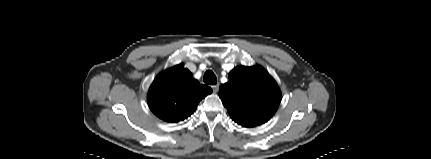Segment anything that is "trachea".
Listing matches in <instances>:
<instances>
[{
  "instance_id": "trachea-1",
  "label": "trachea",
  "mask_w": 431,
  "mask_h": 159,
  "mask_svg": "<svg viewBox=\"0 0 431 159\" xmlns=\"http://www.w3.org/2000/svg\"><path fill=\"white\" fill-rule=\"evenodd\" d=\"M204 82L209 85H215L217 83V78L212 70H207L204 74Z\"/></svg>"
}]
</instances>
